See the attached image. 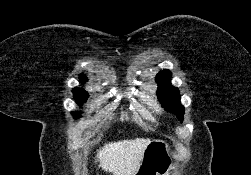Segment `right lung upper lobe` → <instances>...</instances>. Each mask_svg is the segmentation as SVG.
Listing matches in <instances>:
<instances>
[{
  "label": "right lung upper lobe",
  "instance_id": "right-lung-upper-lobe-1",
  "mask_svg": "<svg viewBox=\"0 0 251 175\" xmlns=\"http://www.w3.org/2000/svg\"><path fill=\"white\" fill-rule=\"evenodd\" d=\"M80 80H81L82 83H85L87 81V78H86L85 75L81 74L80 75Z\"/></svg>",
  "mask_w": 251,
  "mask_h": 175
}]
</instances>
